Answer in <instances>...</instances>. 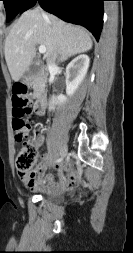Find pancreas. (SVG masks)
<instances>
[{
	"label": "pancreas",
	"mask_w": 133,
	"mask_h": 253,
	"mask_svg": "<svg viewBox=\"0 0 133 253\" xmlns=\"http://www.w3.org/2000/svg\"><path fill=\"white\" fill-rule=\"evenodd\" d=\"M36 90H37V89H36V86H34V91L36 92Z\"/></svg>",
	"instance_id": "pancreas-1"
}]
</instances>
